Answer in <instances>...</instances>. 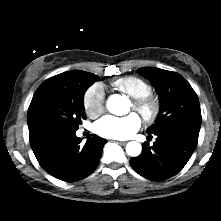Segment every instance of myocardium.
<instances>
[{"mask_svg":"<svg viewBox=\"0 0 221 221\" xmlns=\"http://www.w3.org/2000/svg\"><path fill=\"white\" fill-rule=\"evenodd\" d=\"M133 107L147 122L154 121L160 113V104L151 95L134 98Z\"/></svg>","mask_w":221,"mask_h":221,"instance_id":"myocardium-1","label":"myocardium"}]
</instances>
